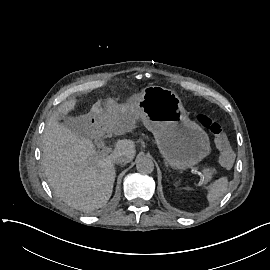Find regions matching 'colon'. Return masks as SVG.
<instances>
[{
	"mask_svg": "<svg viewBox=\"0 0 270 270\" xmlns=\"http://www.w3.org/2000/svg\"><path fill=\"white\" fill-rule=\"evenodd\" d=\"M197 120L203 128L207 129L212 134L215 144L222 154L219 166L220 173L223 175L231 174L233 171L234 154L222 126L206 114H200Z\"/></svg>",
	"mask_w": 270,
	"mask_h": 270,
	"instance_id": "colon-1",
	"label": "colon"
}]
</instances>
